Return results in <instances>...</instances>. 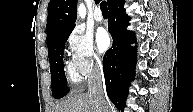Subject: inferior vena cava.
Wrapping results in <instances>:
<instances>
[{
  "mask_svg": "<svg viewBox=\"0 0 193 112\" xmlns=\"http://www.w3.org/2000/svg\"><path fill=\"white\" fill-rule=\"evenodd\" d=\"M88 91L90 95L95 97L98 105L100 106V112H110L109 103L105 96V82L100 62H96L93 65L88 80Z\"/></svg>",
  "mask_w": 193,
  "mask_h": 112,
  "instance_id": "obj_1",
  "label": "inferior vena cava"
}]
</instances>
